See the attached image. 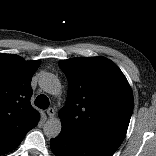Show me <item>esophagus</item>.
Here are the masks:
<instances>
[{
  "label": "esophagus",
  "instance_id": "1",
  "mask_svg": "<svg viewBox=\"0 0 156 156\" xmlns=\"http://www.w3.org/2000/svg\"><path fill=\"white\" fill-rule=\"evenodd\" d=\"M47 114H48V116H49L50 118L54 117V115H55V109L52 108V107L48 108V109H47Z\"/></svg>",
  "mask_w": 156,
  "mask_h": 156
}]
</instances>
